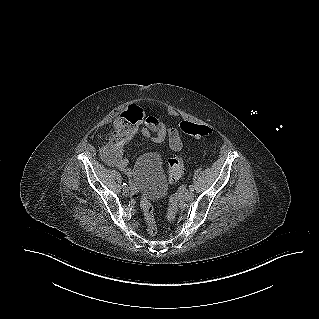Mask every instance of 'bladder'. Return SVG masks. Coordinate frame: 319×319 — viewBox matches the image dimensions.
Returning <instances> with one entry per match:
<instances>
[{
	"label": "bladder",
	"mask_w": 319,
	"mask_h": 319,
	"mask_svg": "<svg viewBox=\"0 0 319 319\" xmlns=\"http://www.w3.org/2000/svg\"><path fill=\"white\" fill-rule=\"evenodd\" d=\"M132 178L150 201L159 200L166 194L162 161L156 152H146L137 158Z\"/></svg>",
	"instance_id": "obj_1"
}]
</instances>
